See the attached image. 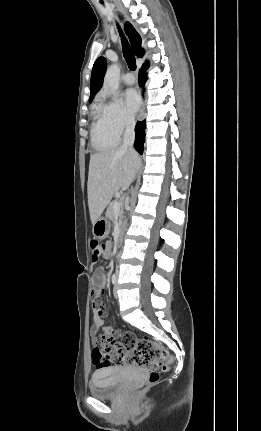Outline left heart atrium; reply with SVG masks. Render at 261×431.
<instances>
[{"label":"left heart atrium","instance_id":"obj_1","mask_svg":"<svg viewBox=\"0 0 261 431\" xmlns=\"http://www.w3.org/2000/svg\"><path fill=\"white\" fill-rule=\"evenodd\" d=\"M123 101L125 108L131 114L138 111L140 107V101L137 92L134 89H127L123 94Z\"/></svg>","mask_w":261,"mask_h":431}]
</instances>
